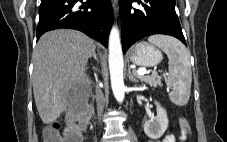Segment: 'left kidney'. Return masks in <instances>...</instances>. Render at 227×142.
Returning <instances> with one entry per match:
<instances>
[{"label":"left kidney","instance_id":"obj_1","mask_svg":"<svg viewBox=\"0 0 227 142\" xmlns=\"http://www.w3.org/2000/svg\"><path fill=\"white\" fill-rule=\"evenodd\" d=\"M157 116L152 117L144 124V132L151 139H159L168 127V117L166 110L155 101Z\"/></svg>","mask_w":227,"mask_h":142}]
</instances>
